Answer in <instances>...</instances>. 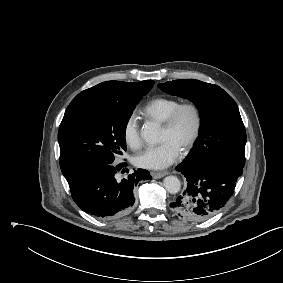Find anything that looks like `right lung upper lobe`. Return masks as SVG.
<instances>
[{"label": "right lung upper lobe", "instance_id": "cb5924a9", "mask_svg": "<svg viewBox=\"0 0 283 283\" xmlns=\"http://www.w3.org/2000/svg\"><path fill=\"white\" fill-rule=\"evenodd\" d=\"M155 82L146 80L142 82H122L108 81L100 83L92 88L79 93L72 102L75 101H109L122 100L134 97L141 93L145 88L153 86Z\"/></svg>", "mask_w": 283, "mask_h": 283}]
</instances>
